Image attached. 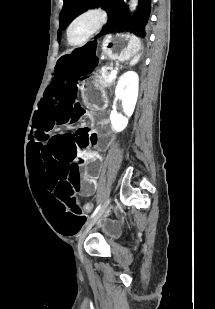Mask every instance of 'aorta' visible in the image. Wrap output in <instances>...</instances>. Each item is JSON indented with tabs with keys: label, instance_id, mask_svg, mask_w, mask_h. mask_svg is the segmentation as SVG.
I'll return each instance as SVG.
<instances>
[{
	"label": "aorta",
	"instance_id": "1",
	"mask_svg": "<svg viewBox=\"0 0 215 309\" xmlns=\"http://www.w3.org/2000/svg\"><path fill=\"white\" fill-rule=\"evenodd\" d=\"M137 2H138V0H131V4H130L131 10H134V8H136Z\"/></svg>",
	"mask_w": 215,
	"mask_h": 309
}]
</instances>
